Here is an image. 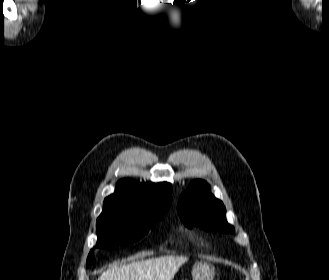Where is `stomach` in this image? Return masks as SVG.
<instances>
[{"label":"stomach","mask_w":329,"mask_h":280,"mask_svg":"<svg viewBox=\"0 0 329 280\" xmlns=\"http://www.w3.org/2000/svg\"><path fill=\"white\" fill-rule=\"evenodd\" d=\"M193 280H213L214 267L206 261L196 262L192 267Z\"/></svg>","instance_id":"1"}]
</instances>
